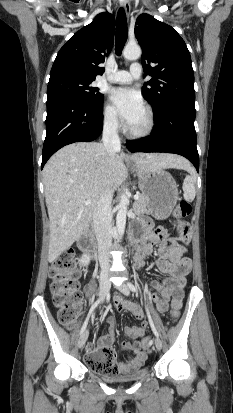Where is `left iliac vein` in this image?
Returning <instances> with one entry per match:
<instances>
[{
  "label": "left iliac vein",
  "instance_id": "obj_1",
  "mask_svg": "<svg viewBox=\"0 0 233 413\" xmlns=\"http://www.w3.org/2000/svg\"><path fill=\"white\" fill-rule=\"evenodd\" d=\"M119 290L126 296H128L130 294L129 287L126 283H122L119 286ZM155 347L158 351H160L162 349V341L158 337L155 339Z\"/></svg>",
  "mask_w": 233,
  "mask_h": 413
}]
</instances>
